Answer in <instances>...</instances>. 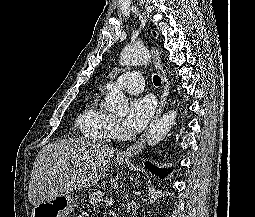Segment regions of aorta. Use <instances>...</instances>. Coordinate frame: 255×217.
I'll use <instances>...</instances> for the list:
<instances>
[{"mask_svg": "<svg viewBox=\"0 0 255 217\" xmlns=\"http://www.w3.org/2000/svg\"><path fill=\"white\" fill-rule=\"evenodd\" d=\"M151 58V53L144 47H125L120 54L121 65H140L147 63ZM105 108L107 111L126 115L129 112L128 100L124 96L121 88L114 87L105 97ZM176 111H169L158 119L150 128L147 134V144L155 146L162 141L176 121Z\"/></svg>", "mask_w": 255, "mask_h": 217, "instance_id": "1", "label": "aorta"}]
</instances>
